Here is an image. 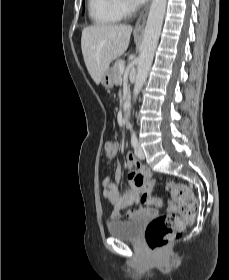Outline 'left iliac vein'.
<instances>
[{"label": "left iliac vein", "instance_id": "left-iliac-vein-1", "mask_svg": "<svg viewBox=\"0 0 229 280\" xmlns=\"http://www.w3.org/2000/svg\"><path fill=\"white\" fill-rule=\"evenodd\" d=\"M135 155L139 159H144L145 158L144 151H143L142 147L139 144L135 147Z\"/></svg>", "mask_w": 229, "mask_h": 280}]
</instances>
